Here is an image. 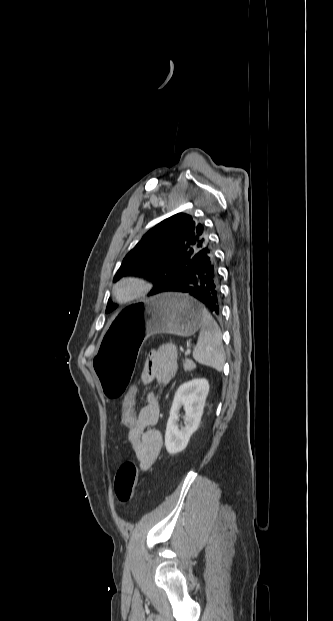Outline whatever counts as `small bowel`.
<instances>
[{"label":"small bowel","instance_id":"c3829d8e","mask_svg":"<svg viewBox=\"0 0 333 621\" xmlns=\"http://www.w3.org/2000/svg\"><path fill=\"white\" fill-rule=\"evenodd\" d=\"M177 369L175 348L165 345L149 353L142 379L146 384L156 381L159 385H167L174 379ZM159 415L160 407L157 397L154 393H150L146 404L138 412L136 423L128 427L127 438L142 471L151 468L162 448V434L154 428Z\"/></svg>","mask_w":333,"mask_h":621}]
</instances>
